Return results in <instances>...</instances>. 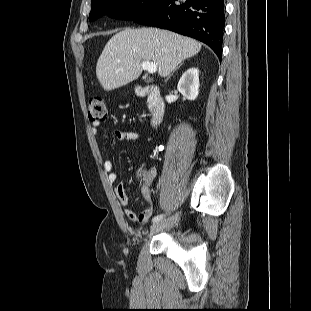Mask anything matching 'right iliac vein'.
Masks as SVG:
<instances>
[{
	"label": "right iliac vein",
	"mask_w": 311,
	"mask_h": 311,
	"mask_svg": "<svg viewBox=\"0 0 311 311\" xmlns=\"http://www.w3.org/2000/svg\"><path fill=\"white\" fill-rule=\"evenodd\" d=\"M179 219V213L175 214L174 216L161 220L159 222L154 223L151 226V233H154L155 231H161L165 228H169L170 226H172L175 222H177Z\"/></svg>",
	"instance_id": "63e3f726"
}]
</instances>
